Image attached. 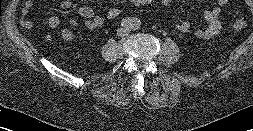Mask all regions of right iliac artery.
<instances>
[{
	"instance_id": "right-iliac-artery-1",
	"label": "right iliac artery",
	"mask_w": 253,
	"mask_h": 131,
	"mask_svg": "<svg viewBox=\"0 0 253 131\" xmlns=\"http://www.w3.org/2000/svg\"><path fill=\"white\" fill-rule=\"evenodd\" d=\"M134 20L132 18H126L121 21V26L123 27H132Z\"/></svg>"
}]
</instances>
